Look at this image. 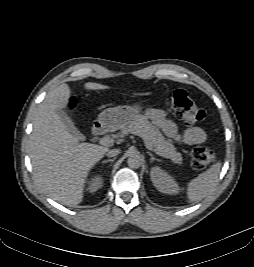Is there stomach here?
<instances>
[{
  "label": "stomach",
  "instance_id": "stomach-1",
  "mask_svg": "<svg viewBox=\"0 0 254 267\" xmlns=\"http://www.w3.org/2000/svg\"><path fill=\"white\" fill-rule=\"evenodd\" d=\"M140 111V103L107 108L98 115L97 122L109 130L123 129L138 119Z\"/></svg>",
  "mask_w": 254,
  "mask_h": 267
}]
</instances>
